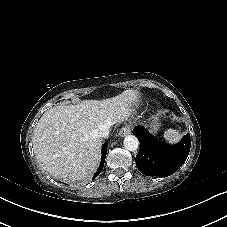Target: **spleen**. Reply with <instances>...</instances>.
Here are the masks:
<instances>
[{"label":"spleen","mask_w":227,"mask_h":227,"mask_svg":"<svg viewBox=\"0 0 227 227\" xmlns=\"http://www.w3.org/2000/svg\"><path fill=\"white\" fill-rule=\"evenodd\" d=\"M182 134L178 130L175 129H168L164 133V138L169 143H176L180 140Z\"/></svg>","instance_id":"obj_1"}]
</instances>
